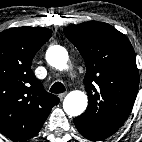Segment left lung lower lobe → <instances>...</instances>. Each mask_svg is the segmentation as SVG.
Returning <instances> with one entry per match:
<instances>
[{"instance_id": "0a47b994", "label": "left lung lower lobe", "mask_w": 142, "mask_h": 142, "mask_svg": "<svg viewBox=\"0 0 142 142\" xmlns=\"http://www.w3.org/2000/svg\"><path fill=\"white\" fill-rule=\"evenodd\" d=\"M75 126L77 127L78 131L81 133L82 136L89 140L93 141H101L107 137L100 134L99 132L93 130L89 125H87L84 121L79 118L73 119Z\"/></svg>"}]
</instances>
